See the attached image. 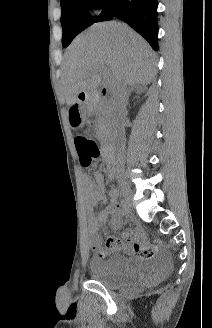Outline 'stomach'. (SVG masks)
Listing matches in <instances>:
<instances>
[{
  "label": "stomach",
  "mask_w": 212,
  "mask_h": 328,
  "mask_svg": "<svg viewBox=\"0 0 212 328\" xmlns=\"http://www.w3.org/2000/svg\"><path fill=\"white\" fill-rule=\"evenodd\" d=\"M81 109V105H79L78 102H71L70 105H68L66 115L67 120L70 121V128H79L80 124L85 123V118L82 117Z\"/></svg>",
  "instance_id": "1"
}]
</instances>
